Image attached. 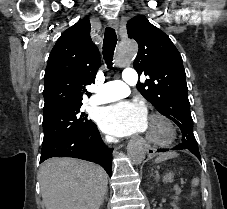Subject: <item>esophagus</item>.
<instances>
[{"label": "esophagus", "instance_id": "1", "mask_svg": "<svg viewBox=\"0 0 227 209\" xmlns=\"http://www.w3.org/2000/svg\"><path fill=\"white\" fill-rule=\"evenodd\" d=\"M113 19L116 17L114 14L111 16ZM110 25L115 28L116 30H118L119 25L118 22H116L115 20H111ZM154 154H156V149H147V156L148 157H153Z\"/></svg>", "mask_w": 227, "mask_h": 209}]
</instances>
